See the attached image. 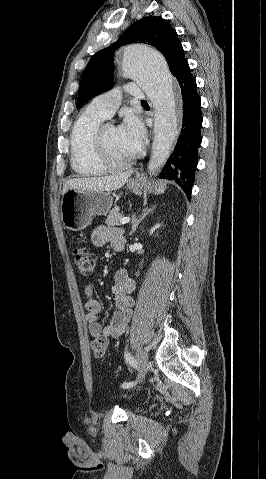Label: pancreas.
Here are the masks:
<instances>
[{"mask_svg":"<svg viewBox=\"0 0 266 479\" xmlns=\"http://www.w3.org/2000/svg\"><path fill=\"white\" fill-rule=\"evenodd\" d=\"M121 218H123V215L117 209H113L107 216L105 223L108 226L119 225Z\"/></svg>","mask_w":266,"mask_h":479,"instance_id":"1","label":"pancreas"}]
</instances>
